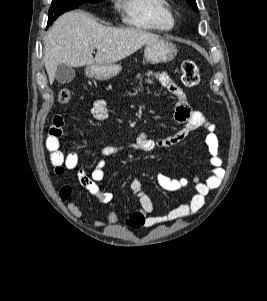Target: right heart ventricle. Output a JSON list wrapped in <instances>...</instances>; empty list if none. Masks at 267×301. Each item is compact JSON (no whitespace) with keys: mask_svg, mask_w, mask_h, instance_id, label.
Instances as JSON below:
<instances>
[{"mask_svg":"<svg viewBox=\"0 0 267 301\" xmlns=\"http://www.w3.org/2000/svg\"><path fill=\"white\" fill-rule=\"evenodd\" d=\"M123 20L128 26L151 31H169L174 15L168 0H117Z\"/></svg>","mask_w":267,"mask_h":301,"instance_id":"1","label":"right heart ventricle"}]
</instances>
